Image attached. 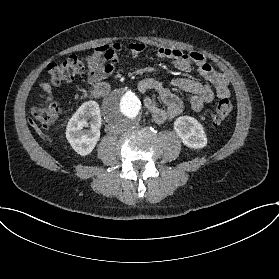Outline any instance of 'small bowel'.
I'll list each match as a JSON object with an SVG mask.
<instances>
[{"label":"small bowel","mask_w":279,"mask_h":279,"mask_svg":"<svg viewBox=\"0 0 279 279\" xmlns=\"http://www.w3.org/2000/svg\"><path fill=\"white\" fill-rule=\"evenodd\" d=\"M121 48L119 42L98 45L86 58L88 73L85 82L95 86L108 79L116 70ZM144 48L143 43L134 42L130 45V53L136 57L144 51ZM156 57L171 60L177 69L184 72L190 71L195 65L199 74L209 82L202 83L194 79L177 78L172 80L168 87L154 77H145L139 80L137 83L139 92L154 91L164 103V107H161L151 97L144 99V106L156 123L162 124L173 119L184 108V102L171 91V88L190 93L188 105L195 111H199L211 103L215 94L219 98L229 97L228 78L215 71L201 52L186 53L174 47H161L156 50ZM211 85L214 86L215 92ZM40 88L45 93V101L51 102L53 100L52 85L49 82H42Z\"/></svg>","instance_id":"obj_1"}]
</instances>
